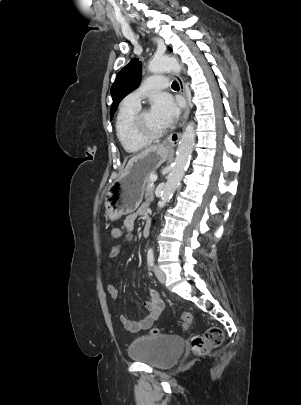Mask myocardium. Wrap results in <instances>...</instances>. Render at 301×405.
<instances>
[{
	"mask_svg": "<svg viewBox=\"0 0 301 405\" xmlns=\"http://www.w3.org/2000/svg\"><path fill=\"white\" fill-rule=\"evenodd\" d=\"M147 109H138L132 117L131 120V130L135 137L146 142L156 141L168 133V128L157 132L151 133L144 129L143 127V116Z\"/></svg>",
	"mask_w": 301,
	"mask_h": 405,
	"instance_id": "f54148a6",
	"label": "myocardium"
}]
</instances>
